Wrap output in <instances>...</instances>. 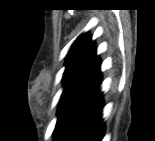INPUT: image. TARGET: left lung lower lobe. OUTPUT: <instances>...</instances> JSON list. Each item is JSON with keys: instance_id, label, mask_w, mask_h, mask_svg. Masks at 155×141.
<instances>
[{"instance_id": "obj_1", "label": "left lung lower lobe", "mask_w": 155, "mask_h": 141, "mask_svg": "<svg viewBox=\"0 0 155 141\" xmlns=\"http://www.w3.org/2000/svg\"><path fill=\"white\" fill-rule=\"evenodd\" d=\"M100 68L83 91L70 106L57 141H101L105 126L102 122L104 105L100 85Z\"/></svg>"}]
</instances>
